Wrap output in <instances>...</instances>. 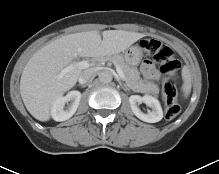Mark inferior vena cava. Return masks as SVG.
Masks as SVG:
<instances>
[{"label": "inferior vena cava", "instance_id": "602c4592", "mask_svg": "<svg viewBox=\"0 0 219 174\" xmlns=\"http://www.w3.org/2000/svg\"><path fill=\"white\" fill-rule=\"evenodd\" d=\"M95 75H96V72L94 69L84 70L79 76L78 81L80 84H85L91 81L92 79H94Z\"/></svg>", "mask_w": 219, "mask_h": 174}]
</instances>
